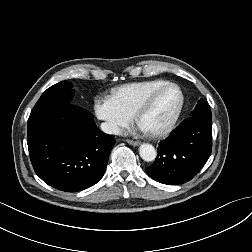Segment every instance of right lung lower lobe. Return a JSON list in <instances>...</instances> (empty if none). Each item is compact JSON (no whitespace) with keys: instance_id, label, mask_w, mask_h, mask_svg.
<instances>
[{"instance_id":"right-lung-lower-lobe-1","label":"right lung lower lobe","mask_w":252,"mask_h":252,"mask_svg":"<svg viewBox=\"0 0 252 252\" xmlns=\"http://www.w3.org/2000/svg\"><path fill=\"white\" fill-rule=\"evenodd\" d=\"M93 119L89 111L71 103L29 117L30 159L45 183L77 192L102 178L115 139L100 131Z\"/></svg>"}]
</instances>
